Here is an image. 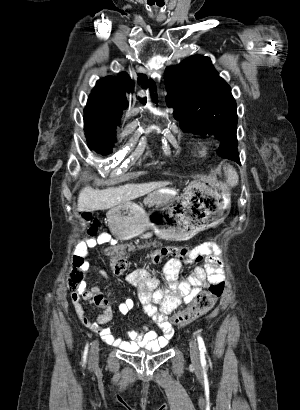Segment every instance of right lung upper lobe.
I'll return each instance as SVG.
<instances>
[{"mask_svg": "<svg viewBox=\"0 0 300 410\" xmlns=\"http://www.w3.org/2000/svg\"><path fill=\"white\" fill-rule=\"evenodd\" d=\"M139 82L142 86L151 85L152 91L156 90L155 84L145 75L139 74ZM133 85L130 77L126 73L119 74L118 78L107 76L97 81V84L90 96L97 98L99 101L98 109L106 117H115L120 120L122 109L128 105L125 91H132ZM155 96V95H153ZM146 102V99H144Z\"/></svg>", "mask_w": 300, "mask_h": 410, "instance_id": "1", "label": "right lung upper lobe"}]
</instances>
